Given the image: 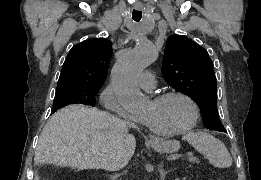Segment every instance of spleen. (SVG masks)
<instances>
[{
    "instance_id": "1",
    "label": "spleen",
    "mask_w": 261,
    "mask_h": 180,
    "mask_svg": "<svg viewBox=\"0 0 261 180\" xmlns=\"http://www.w3.org/2000/svg\"><path fill=\"white\" fill-rule=\"evenodd\" d=\"M197 152L203 154L215 168H230L232 158L223 142L204 132H188L182 136Z\"/></svg>"
}]
</instances>
